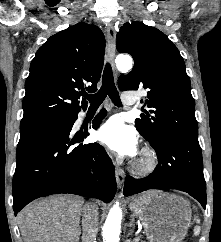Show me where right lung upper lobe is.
Returning <instances> with one entry per match:
<instances>
[{
	"mask_svg": "<svg viewBox=\"0 0 221 242\" xmlns=\"http://www.w3.org/2000/svg\"><path fill=\"white\" fill-rule=\"evenodd\" d=\"M104 50L95 25L80 22L51 36L31 62L20 127L79 112L80 95L97 90ZM81 103L86 108V100Z\"/></svg>",
	"mask_w": 221,
	"mask_h": 242,
	"instance_id": "1",
	"label": "right lung upper lobe"
}]
</instances>
